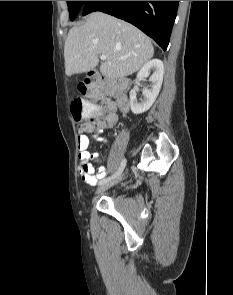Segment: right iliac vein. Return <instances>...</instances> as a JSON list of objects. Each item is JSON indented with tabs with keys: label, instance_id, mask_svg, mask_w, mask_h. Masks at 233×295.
Wrapping results in <instances>:
<instances>
[{
	"label": "right iliac vein",
	"instance_id": "obj_1",
	"mask_svg": "<svg viewBox=\"0 0 233 295\" xmlns=\"http://www.w3.org/2000/svg\"><path fill=\"white\" fill-rule=\"evenodd\" d=\"M120 180H121V175H119L111 180H108L107 178L101 179L98 183V188L96 190V193L99 194V193L104 192L108 188L117 184Z\"/></svg>",
	"mask_w": 233,
	"mask_h": 295
}]
</instances>
